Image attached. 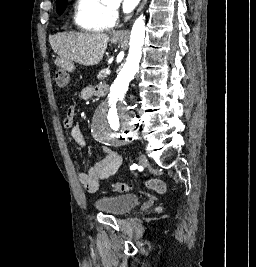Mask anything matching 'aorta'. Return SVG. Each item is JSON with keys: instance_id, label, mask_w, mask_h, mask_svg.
Here are the masks:
<instances>
[{"instance_id": "1", "label": "aorta", "mask_w": 256, "mask_h": 267, "mask_svg": "<svg viewBox=\"0 0 256 267\" xmlns=\"http://www.w3.org/2000/svg\"><path fill=\"white\" fill-rule=\"evenodd\" d=\"M145 38V16L137 18L130 34L129 54L122 68L123 71L113 81V89L107 95L106 101H101L99 108H95L93 127H132L134 117L132 108L123 104V94L126 86L131 83L133 72H138L142 56V46ZM136 42L133 52V42ZM138 44V46H137ZM138 50V52H137ZM122 133H127V128H90V138H96V143H130V138H122Z\"/></svg>"}]
</instances>
